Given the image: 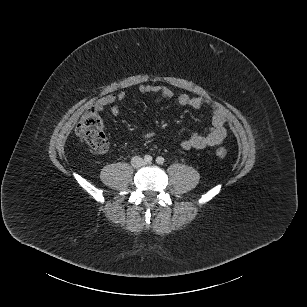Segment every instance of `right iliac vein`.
Segmentation results:
<instances>
[{
    "label": "right iliac vein",
    "instance_id": "obj_1",
    "mask_svg": "<svg viewBox=\"0 0 307 307\" xmlns=\"http://www.w3.org/2000/svg\"><path fill=\"white\" fill-rule=\"evenodd\" d=\"M134 164H135V165H139V161L136 160V161L134 162Z\"/></svg>",
    "mask_w": 307,
    "mask_h": 307
}]
</instances>
